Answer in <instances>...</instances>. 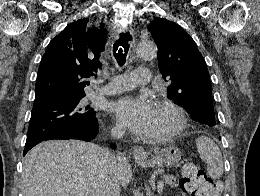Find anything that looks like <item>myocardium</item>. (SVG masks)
Here are the masks:
<instances>
[{"label": "myocardium", "mask_w": 260, "mask_h": 196, "mask_svg": "<svg viewBox=\"0 0 260 196\" xmlns=\"http://www.w3.org/2000/svg\"><path fill=\"white\" fill-rule=\"evenodd\" d=\"M153 103L169 111L174 118V123L163 130L152 133L149 138L151 141L160 142L169 140L185 128L187 122L186 115L179 105L166 98H155Z\"/></svg>", "instance_id": "myocardium-1"}]
</instances>
